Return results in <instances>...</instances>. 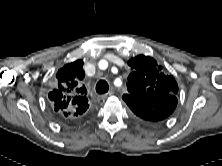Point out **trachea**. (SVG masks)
Returning <instances> with one entry per match:
<instances>
[{
	"instance_id": "trachea-1",
	"label": "trachea",
	"mask_w": 222,
	"mask_h": 166,
	"mask_svg": "<svg viewBox=\"0 0 222 166\" xmlns=\"http://www.w3.org/2000/svg\"><path fill=\"white\" fill-rule=\"evenodd\" d=\"M109 90V85L105 80H100L97 85H96V92L98 94H104L108 92Z\"/></svg>"
}]
</instances>
